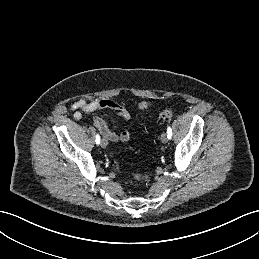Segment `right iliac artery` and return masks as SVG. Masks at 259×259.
Listing matches in <instances>:
<instances>
[{
    "mask_svg": "<svg viewBox=\"0 0 259 259\" xmlns=\"http://www.w3.org/2000/svg\"><path fill=\"white\" fill-rule=\"evenodd\" d=\"M95 141H96V144H99V143H100V136H99L98 134L96 135Z\"/></svg>",
    "mask_w": 259,
    "mask_h": 259,
    "instance_id": "obj_1",
    "label": "right iliac artery"
}]
</instances>
